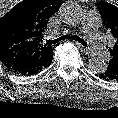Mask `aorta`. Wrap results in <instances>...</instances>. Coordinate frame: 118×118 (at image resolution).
<instances>
[{
  "mask_svg": "<svg viewBox=\"0 0 118 118\" xmlns=\"http://www.w3.org/2000/svg\"><path fill=\"white\" fill-rule=\"evenodd\" d=\"M60 18L66 24L79 23L82 18L80 6L74 2L66 3L60 10ZM88 69L94 74H102L107 70V63L100 57H93L88 62Z\"/></svg>",
  "mask_w": 118,
  "mask_h": 118,
  "instance_id": "aorta-1",
  "label": "aorta"
}]
</instances>
